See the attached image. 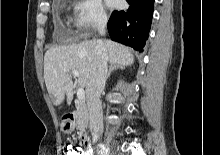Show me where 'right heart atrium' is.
<instances>
[{
  "label": "right heart atrium",
  "mask_w": 220,
  "mask_h": 155,
  "mask_svg": "<svg viewBox=\"0 0 220 155\" xmlns=\"http://www.w3.org/2000/svg\"><path fill=\"white\" fill-rule=\"evenodd\" d=\"M74 12L75 26L82 33H89L102 28L108 19L101 0H76Z\"/></svg>",
  "instance_id": "right-heart-atrium-1"
}]
</instances>
